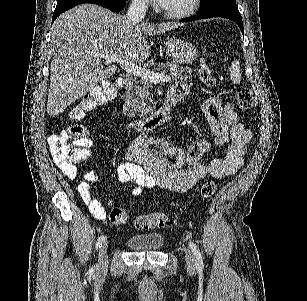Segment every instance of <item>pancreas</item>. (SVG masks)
I'll list each match as a JSON object with an SVG mask.
<instances>
[{"instance_id": "pancreas-1", "label": "pancreas", "mask_w": 307, "mask_h": 301, "mask_svg": "<svg viewBox=\"0 0 307 301\" xmlns=\"http://www.w3.org/2000/svg\"><path fill=\"white\" fill-rule=\"evenodd\" d=\"M153 70L154 72H157V70H160V72H168L172 78H188V76L183 74L187 68H183L180 64H175V62H161ZM151 88L152 84L149 80H138L132 92H129L131 106L140 116H148L156 108V102L152 96Z\"/></svg>"}]
</instances>
